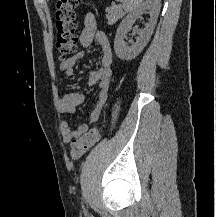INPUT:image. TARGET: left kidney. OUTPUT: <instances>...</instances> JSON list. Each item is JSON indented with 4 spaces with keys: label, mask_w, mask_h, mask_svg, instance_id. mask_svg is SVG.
I'll return each mask as SVG.
<instances>
[{
    "label": "left kidney",
    "mask_w": 216,
    "mask_h": 217,
    "mask_svg": "<svg viewBox=\"0 0 216 217\" xmlns=\"http://www.w3.org/2000/svg\"><path fill=\"white\" fill-rule=\"evenodd\" d=\"M160 1L161 0H146L122 20L114 40V50L120 59L127 61L134 59L147 45L157 23L161 7ZM146 11L150 13L149 22L145 25L144 29L139 30L137 41L135 43L131 42V45H127L124 39L128 31L132 29L135 21Z\"/></svg>",
    "instance_id": "5707ae66"
}]
</instances>
